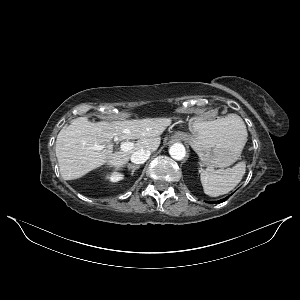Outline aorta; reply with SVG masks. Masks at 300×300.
<instances>
[{"instance_id": "aorta-1", "label": "aorta", "mask_w": 300, "mask_h": 300, "mask_svg": "<svg viewBox=\"0 0 300 300\" xmlns=\"http://www.w3.org/2000/svg\"><path fill=\"white\" fill-rule=\"evenodd\" d=\"M170 156L175 160H182L186 155V149L181 143H174L169 148Z\"/></svg>"}]
</instances>
